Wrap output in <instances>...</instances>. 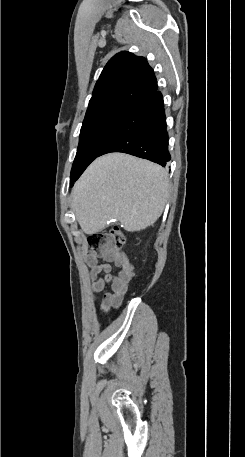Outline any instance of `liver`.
Masks as SVG:
<instances>
[{"instance_id": "liver-1", "label": "liver", "mask_w": 245, "mask_h": 457, "mask_svg": "<svg viewBox=\"0 0 245 457\" xmlns=\"http://www.w3.org/2000/svg\"><path fill=\"white\" fill-rule=\"evenodd\" d=\"M71 206L86 235L121 220L125 231H143L161 216L169 196L168 172L160 164L124 152L99 156L71 192Z\"/></svg>"}]
</instances>
